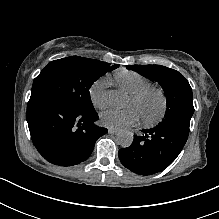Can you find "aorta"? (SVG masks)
<instances>
[{
	"instance_id": "aorta-1",
	"label": "aorta",
	"mask_w": 219,
	"mask_h": 219,
	"mask_svg": "<svg viewBox=\"0 0 219 219\" xmlns=\"http://www.w3.org/2000/svg\"><path fill=\"white\" fill-rule=\"evenodd\" d=\"M107 101L111 106L117 108H122L127 105V97L117 90H110L107 92ZM133 139V133L128 130H123L119 132L116 138L117 143L122 148L130 147Z\"/></svg>"
}]
</instances>
